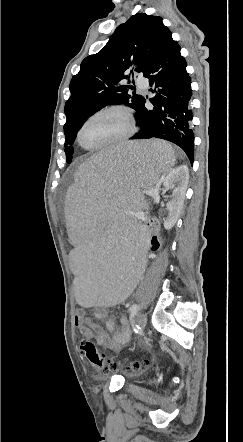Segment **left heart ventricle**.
Masks as SVG:
<instances>
[{
	"label": "left heart ventricle",
	"mask_w": 243,
	"mask_h": 442,
	"mask_svg": "<svg viewBox=\"0 0 243 442\" xmlns=\"http://www.w3.org/2000/svg\"><path fill=\"white\" fill-rule=\"evenodd\" d=\"M127 129L126 119L119 112H108L90 120L83 128L81 140L96 146L122 135Z\"/></svg>",
	"instance_id": "obj_1"
}]
</instances>
